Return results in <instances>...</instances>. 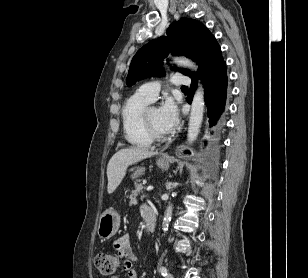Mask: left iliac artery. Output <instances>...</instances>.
<instances>
[{
    "mask_svg": "<svg viewBox=\"0 0 308 278\" xmlns=\"http://www.w3.org/2000/svg\"><path fill=\"white\" fill-rule=\"evenodd\" d=\"M160 273L162 274V276H166L167 275V268L166 267H161L160 268Z\"/></svg>",
    "mask_w": 308,
    "mask_h": 278,
    "instance_id": "1",
    "label": "left iliac artery"
}]
</instances>
